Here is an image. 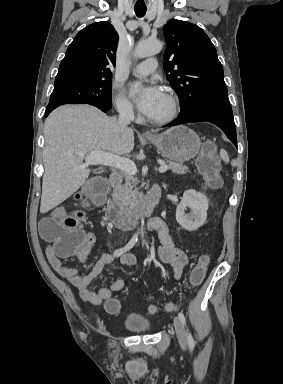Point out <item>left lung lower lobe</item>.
Wrapping results in <instances>:
<instances>
[{"label": "left lung lower lobe", "instance_id": "left-lung-lower-lobe-1", "mask_svg": "<svg viewBox=\"0 0 283 384\" xmlns=\"http://www.w3.org/2000/svg\"><path fill=\"white\" fill-rule=\"evenodd\" d=\"M201 121H208L220 127L237 148V135L231 105L201 107L187 114L179 115L177 119L164 127Z\"/></svg>", "mask_w": 283, "mask_h": 384}]
</instances>
